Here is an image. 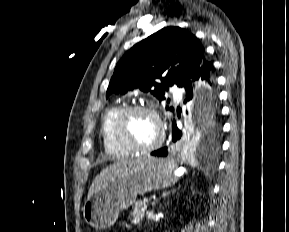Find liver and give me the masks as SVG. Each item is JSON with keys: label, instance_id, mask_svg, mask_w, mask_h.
<instances>
[{"label": "liver", "instance_id": "1", "mask_svg": "<svg viewBox=\"0 0 289 232\" xmlns=\"http://www.w3.org/2000/svg\"><path fill=\"white\" fill-rule=\"evenodd\" d=\"M142 161L143 160L141 159L126 160L110 165L109 167L103 169L100 174H98L93 180L88 191V198L101 190L105 185H107V183H109L116 177L127 173L132 167L140 164Z\"/></svg>", "mask_w": 289, "mask_h": 232}]
</instances>
